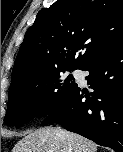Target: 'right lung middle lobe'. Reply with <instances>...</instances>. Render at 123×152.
Masks as SVG:
<instances>
[{
    "instance_id": "1",
    "label": "right lung middle lobe",
    "mask_w": 123,
    "mask_h": 152,
    "mask_svg": "<svg viewBox=\"0 0 123 152\" xmlns=\"http://www.w3.org/2000/svg\"><path fill=\"white\" fill-rule=\"evenodd\" d=\"M70 70L74 69L46 72L21 82L11 90L5 124L21 125L61 109L78 87L71 74L67 78L61 76V73Z\"/></svg>"
}]
</instances>
